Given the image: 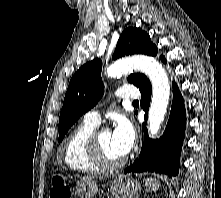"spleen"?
Masks as SVG:
<instances>
[{
	"mask_svg": "<svg viewBox=\"0 0 221 198\" xmlns=\"http://www.w3.org/2000/svg\"><path fill=\"white\" fill-rule=\"evenodd\" d=\"M145 184L152 191H156L159 188V183L153 178L145 179Z\"/></svg>",
	"mask_w": 221,
	"mask_h": 198,
	"instance_id": "spleen-1",
	"label": "spleen"
}]
</instances>
